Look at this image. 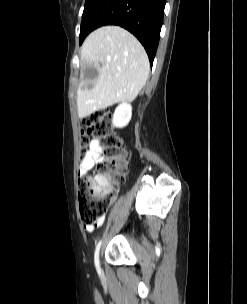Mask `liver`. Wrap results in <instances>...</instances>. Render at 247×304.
<instances>
[{"label": "liver", "mask_w": 247, "mask_h": 304, "mask_svg": "<svg viewBox=\"0 0 247 304\" xmlns=\"http://www.w3.org/2000/svg\"><path fill=\"white\" fill-rule=\"evenodd\" d=\"M81 63L94 66L98 77L92 88L84 80L77 90L79 118L120 102H132L145 85L149 60L140 42L119 26L93 31L81 48Z\"/></svg>", "instance_id": "6515ba94"}]
</instances>
